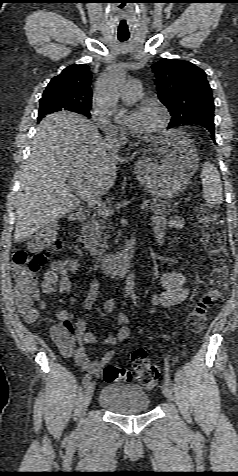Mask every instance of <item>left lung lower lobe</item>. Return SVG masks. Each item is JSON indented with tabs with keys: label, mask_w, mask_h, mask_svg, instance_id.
I'll use <instances>...</instances> for the list:
<instances>
[{
	"label": "left lung lower lobe",
	"mask_w": 238,
	"mask_h": 476,
	"mask_svg": "<svg viewBox=\"0 0 238 476\" xmlns=\"http://www.w3.org/2000/svg\"><path fill=\"white\" fill-rule=\"evenodd\" d=\"M203 127H205L208 131H210V133L212 134V139L214 140V131H215V128H214V123H202V124H199Z\"/></svg>",
	"instance_id": "0a47b994"
}]
</instances>
